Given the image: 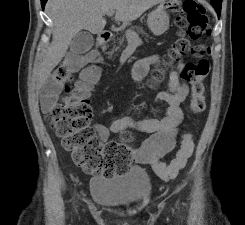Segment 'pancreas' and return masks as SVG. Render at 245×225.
I'll use <instances>...</instances> for the list:
<instances>
[{
	"mask_svg": "<svg viewBox=\"0 0 245 225\" xmlns=\"http://www.w3.org/2000/svg\"><path fill=\"white\" fill-rule=\"evenodd\" d=\"M139 31H142L141 28H138ZM124 36L121 38H118V46H114L113 49L108 52L109 58L117 51H120L122 47H125L124 45Z\"/></svg>",
	"mask_w": 245,
	"mask_h": 225,
	"instance_id": "pancreas-1",
	"label": "pancreas"
}]
</instances>
